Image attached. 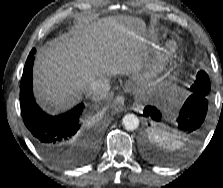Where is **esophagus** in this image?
Listing matches in <instances>:
<instances>
[{"label":"esophagus","instance_id":"obj_1","mask_svg":"<svg viewBox=\"0 0 223 188\" xmlns=\"http://www.w3.org/2000/svg\"><path fill=\"white\" fill-rule=\"evenodd\" d=\"M111 109L116 113L123 112L124 110H126L124 96H117L111 104Z\"/></svg>","mask_w":223,"mask_h":188}]
</instances>
